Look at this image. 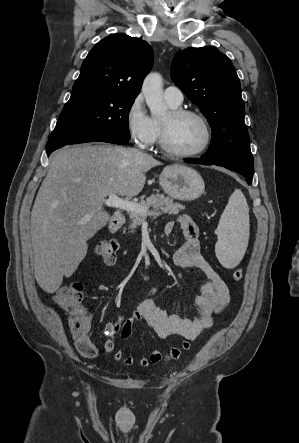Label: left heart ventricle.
I'll return each instance as SVG.
<instances>
[{
  "label": "left heart ventricle",
  "instance_id": "obj_1",
  "mask_svg": "<svg viewBox=\"0 0 299 443\" xmlns=\"http://www.w3.org/2000/svg\"><path fill=\"white\" fill-rule=\"evenodd\" d=\"M167 128V143L180 152L196 150L205 138V130L199 119L193 116L173 118L170 112L161 120Z\"/></svg>",
  "mask_w": 299,
  "mask_h": 443
}]
</instances>
